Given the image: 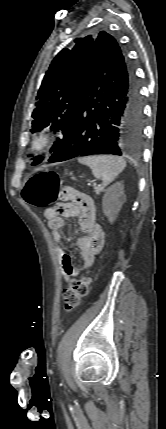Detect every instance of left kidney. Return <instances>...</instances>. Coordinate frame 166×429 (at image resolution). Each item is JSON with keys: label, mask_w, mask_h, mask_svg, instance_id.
Here are the masks:
<instances>
[{"label": "left kidney", "mask_w": 166, "mask_h": 429, "mask_svg": "<svg viewBox=\"0 0 166 429\" xmlns=\"http://www.w3.org/2000/svg\"><path fill=\"white\" fill-rule=\"evenodd\" d=\"M125 201L124 185L121 182L113 184L106 190L102 200V207L103 213L110 223L114 222Z\"/></svg>", "instance_id": "5707ae66"}]
</instances>
